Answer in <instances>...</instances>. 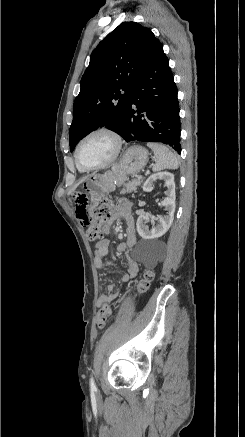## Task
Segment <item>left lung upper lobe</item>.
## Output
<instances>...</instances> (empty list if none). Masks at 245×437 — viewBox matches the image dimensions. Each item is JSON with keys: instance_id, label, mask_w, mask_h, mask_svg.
Returning <instances> with one entry per match:
<instances>
[{"instance_id": "5c2ea615", "label": "left lung upper lobe", "mask_w": 245, "mask_h": 437, "mask_svg": "<svg viewBox=\"0 0 245 437\" xmlns=\"http://www.w3.org/2000/svg\"><path fill=\"white\" fill-rule=\"evenodd\" d=\"M158 44L150 29L123 22L93 50L74 102L71 152L99 127L123 136L131 89Z\"/></svg>"}]
</instances>
